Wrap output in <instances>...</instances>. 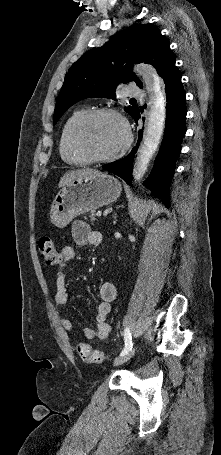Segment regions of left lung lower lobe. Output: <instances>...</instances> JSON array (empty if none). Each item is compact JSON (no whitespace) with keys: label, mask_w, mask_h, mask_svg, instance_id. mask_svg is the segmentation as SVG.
<instances>
[{"label":"left lung lower lobe","mask_w":221,"mask_h":455,"mask_svg":"<svg viewBox=\"0 0 221 455\" xmlns=\"http://www.w3.org/2000/svg\"><path fill=\"white\" fill-rule=\"evenodd\" d=\"M162 78L167 99L164 138L153 170L144 184L150 189L152 196L160 198L165 206L169 207L170 184L174 175L175 162L181 151L182 138L186 133V95L181 82V73L175 64L163 74ZM133 118L137 123L140 110ZM141 139L140 130L136 147L125 158L103 165L102 168L122 177L132 185L133 159Z\"/></svg>","instance_id":"left-lung-lower-lobe-1"}]
</instances>
